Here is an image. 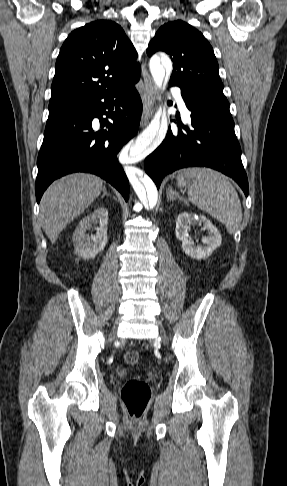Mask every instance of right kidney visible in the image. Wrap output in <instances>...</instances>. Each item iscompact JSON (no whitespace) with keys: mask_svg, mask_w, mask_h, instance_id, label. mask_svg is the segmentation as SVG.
I'll list each match as a JSON object with an SVG mask.
<instances>
[{"mask_svg":"<svg viewBox=\"0 0 287 486\" xmlns=\"http://www.w3.org/2000/svg\"><path fill=\"white\" fill-rule=\"evenodd\" d=\"M99 223L95 235H87L86 230L93 224ZM108 210L98 207L91 214L85 216L77 225L72 240L75 252L84 259L94 258L107 243Z\"/></svg>","mask_w":287,"mask_h":486,"instance_id":"obj_1","label":"right kidney"}]
</instances>
